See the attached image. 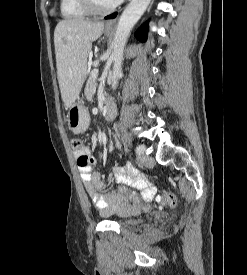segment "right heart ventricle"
<instances>
[{
	"instance_id": "obj_1",
	"label": "right heart ventricle",
	"mask_w": 247,
	"mask_h": 275,
	"mask_svg": "<svg viewBox=\"0 0 247 275\" xmlns=\"http://www.w3.org/2000/svg\"><path fill=\"white\" fill-rule=\"evenodd\" d=\"M60 11L66 19H82L89 15L79 0H60Z\"/></svg>"
}]
</instances>
